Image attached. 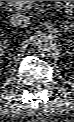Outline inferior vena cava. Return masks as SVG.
Wrapping results in <instances>:
<instances>
[{
	"label": "inferior vena cava",
	"mask_w": 74,
	"mask_h": 122,
	"mask_svg": "<svg viewBox=\"0 0 74 122\" xmlns=\"http://www.w3.org/2000/svg\"><path fill=\"white\" fill-rule=\"evenodd\" d=\"M10 22L14 27L25 28L30 24V18L16 13L10 16Z\"/></svg>",
	"instance_id": "602c4592"
}]
</instances>
